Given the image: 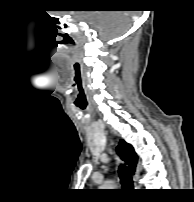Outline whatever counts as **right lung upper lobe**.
<instances>
[{"label":"right lung upper lobe","mask_w":194,"mask_h":202,"mask_svg":"<svg viewBox=\"0 0 194 202\" xmlns=\"http://www.w3.org/2000/svg\"><path fill=\"white\" fill-rule=\"evenodd\" d=\"M117 152L129 165V172L134 174L137 164V155L134 152L133 147L125 141L121 140L119 146L117 147Z\"/></svg>","instance_id":"cb5924a9"}]
</instances>
